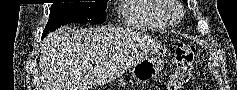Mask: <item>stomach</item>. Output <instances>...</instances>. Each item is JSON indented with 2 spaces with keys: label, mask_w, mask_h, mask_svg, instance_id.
I'll list each match as a JSON object with an SVG mask.
<instances>
[{
  "label": "stomach",
  "mask_w": 237,
  "mask_h": 90,
  "mask_svg": "<svg viewBox=\"0 0 237 90\" xmlns=\"http://www.w3.org/2000/svg\"><path fill=\"white\" fill-rule=\"evenodd\" d=\"M164 66L160 59H147L136 64L131 71V76L138 81H148L154 78Z\"/></svg>",
  "instance_id": "1"
}]
</instances>
